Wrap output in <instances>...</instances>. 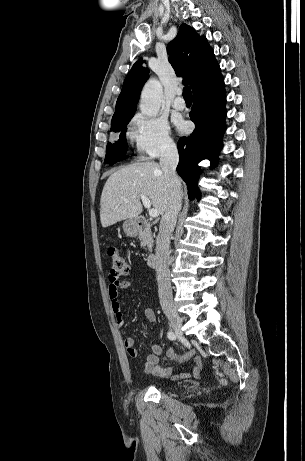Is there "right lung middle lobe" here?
I'll use <instances>...</instances> for the list:
<instances>
[{
    "label": "right lung middle lobe",
    "mask_w": 305,
    "mask_h": 461,
    "mask_svg": "<svg viewBox=\"0 0 305 461\" xmlns=\"http://www.w3.org/2000/svg\"><path fill=\"white\" fill-rule=\"evenodd\" d=\"M132 117L122 120L111 127V131L121 132L119 140L115 143L108 142L106 147V156L105 162L110 165L116 163L117 161L124 159V154L126 153L127 143H126V128L127 124Z\"/></svg>",
    "instance_id": "obj_1"
}]
</instances>
